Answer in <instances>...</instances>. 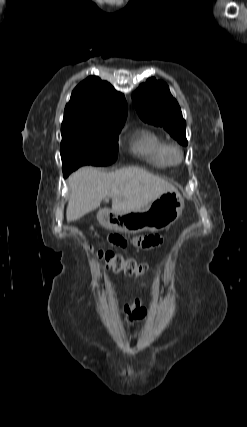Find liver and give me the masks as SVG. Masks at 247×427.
<instances>
[{
    "label": "liver",
    "instance_id": "obj_1",
    "mask_svg": "<svg viewBox=\"0 0 247 427\" xmlns=\"http://www.w3.org/2000/svg\"><path fill=\"white\" fill-rule=\"evenodd\" d=\"M68 187V221L97 209L105 198L112 199V210L128 213L141 210L161 194L175 190L170 183L139 167L109 173L96 167H82L68 178Z\"/></svg>",
    "mask_w": 247,
    "mask_h": 427
}]
</instances>
